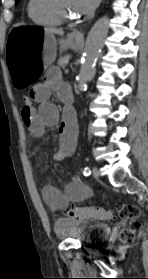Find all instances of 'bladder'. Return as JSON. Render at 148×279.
Here are the masks:
<instances>
[{"label": "bladder", "mask_w": 148, "mask_h": 279, "mask_svg": "<svg viewBox=\"0 0 148 279\" xmlns=\"http://www.w3.org/2000/svg\"><path fill=\"white\" fill-rule=\"evenodd\" d=\"M54 230L59 239H73L85 244L105 241L110 233L109 226L103 222L70 218H58Z\"/></svg>", "instance_id": "bladder-1"}]
</instances>
